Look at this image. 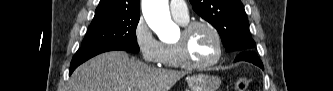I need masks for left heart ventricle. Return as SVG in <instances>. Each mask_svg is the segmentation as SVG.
Wrapping results in <instances>:
<instances>
[{
    "label": "left heart ventricle",
    "mask_w": 333,
    "mask_h": 91,
    "mask_svg": "<svg viewBox=\"0 0 333 91\" xmlns=\"http://www.w3.org/2000/svg\"><path fill=\"white\" fill-rule=\"evenodd\" d=\"M180 38L181 34L178 40ZM188 52L193 62L202 63L212 59L216 55L217 44L211 31L205 27L194 29L188 39Z\"/></svg>",
    "instance_id": "left-heart-ventricle-1"
}]
</instances>
